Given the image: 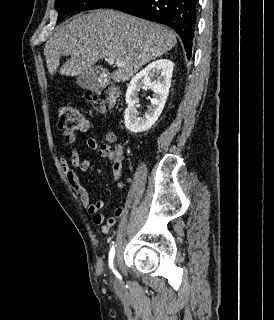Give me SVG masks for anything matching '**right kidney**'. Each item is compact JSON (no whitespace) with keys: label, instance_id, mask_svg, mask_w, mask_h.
I'll return each instance as SVG.
<instances>
[{"label":"right kidney","instance_id":"obj_1","mask_svg":"<svg viewBox=\"0 0 274 320\" xmlns=\"http://www.w3.org/2000/svg\"><path fill=\"white\" fill-rule=\"evenodd\" d=\"M173 68L174 64L171 60H156L132 78L125 94L127 108L124 112V124L128 132H134V134L148 132L157 122L169 94ZM152 78L157 80L151 82ZM141 88H151L154 92L153 98H149L150 106L142 118L135 106L139 100L138 92Z\"/></svg>","mask_w":274,"mask_h":320}]
</instances>
